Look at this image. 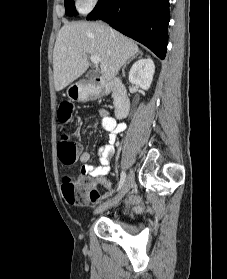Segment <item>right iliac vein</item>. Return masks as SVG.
<instances>
[{"mask_svg": "<svg viewBox=\"0 0 227 279\" xmlns=\"http://www.w3.org/2000/svg\"><path fill=\"white\" fill-rule=\"evenodd\" d=\"M134 180H135V176H134V172L131 170L127 176V179L125 181L124 187L122 188V190L120 191V193L118 194V196H116L115 198L109 200L108 202L102 204L101 206H99L96 210L95 213L101 212L103 210H106L112 206L117 205L120 200L125 196V194L127 192H129V190L133 187L134 185Z\"/></svg>", "mask_w": 227, "mask_h": 279, "instance_id": "right-iliac-vein-1", "label": "right iliac vein"}]
</instances>
